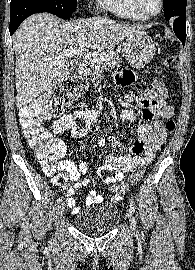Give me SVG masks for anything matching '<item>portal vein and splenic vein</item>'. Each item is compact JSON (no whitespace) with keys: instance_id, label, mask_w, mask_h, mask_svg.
<instances>
[{"instance_id":"obj_1","label":"portal vein and splenic vein","mask_w":195,"mask_h":270,"mask_svg":"<svg viewBox=\"0 0 195 270\" xmlns=\"http://www.w3.org/2000/svg\"><path fill=\"white\" fill-rule=\"evenodd\" d=\"M63 54L67 57H84V58H89V57H96L100 55V58L104 60L105 54H98V53H89V50L87 49H74V50H68L64 51Z\"/></svg>"}]
</instances>
